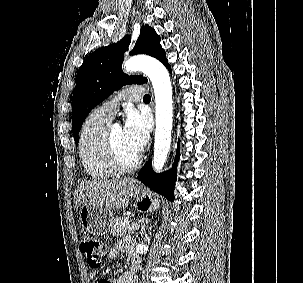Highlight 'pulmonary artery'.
I'll use <instances>...</instances> for the list:
<instances>
[{"label": "pulmonary artery", "instance_id": "pulmonary-artery-1", "mask_svg": "<svg viewBox=\"0 0 303 283\" xmlns=\"http://www.w3.org/2000/svg\"><path fill=\"white\" fill-rule=\"evenodd\" d=\"M144 88L138 85H132L121 89L117 95L104 102L98 109L108 117L112 118L124 101H137L143 97Z\"/></svg>", "mask_w": 303, "mask_h": 283}]
</instances>
